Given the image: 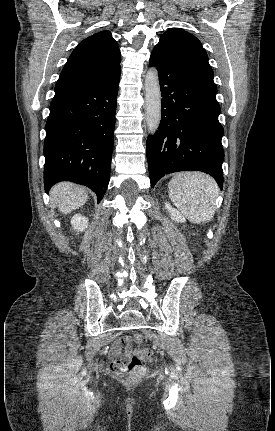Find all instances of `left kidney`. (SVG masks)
Returning <instances> with one entry per match:
<instances>
[{
	"mask_svg": "<svg viewBox=\"0 0 275 431\" xmlns=\"http://www.w3.org/2000/svg\"><path fill=\"white\" fill-rule=\"evenodd\" d=\"M165 208L169 212L172 220H174L177 223H185L186 222V219L184 218V216L178 210L173 208L171 206V204H169L168 202L165 203Z\"/></svg>",
	"mask_w": 275,
	"mask_h": 431,
	"instance_id": "left-kidney-1",
	"label": "left kidney"
}]
</instances>
